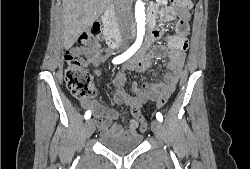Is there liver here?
<instances>
[{
  "instance_id": "liver-1",
  "label": "liver",
  "mask_w": 250,
  "mask_h": 169,
  "mask_svg": "<svg viewBox=\"0 0 250 169\" xmlns=\"http://www.w3.org/2000/svg\"><path fill=\"white\" fill-rule=\"evenodd\" d=\"M109 2L110 0H62L65 48H71L78 36L92 26L107 8Z\"/></svg>"
}]
</instances>
